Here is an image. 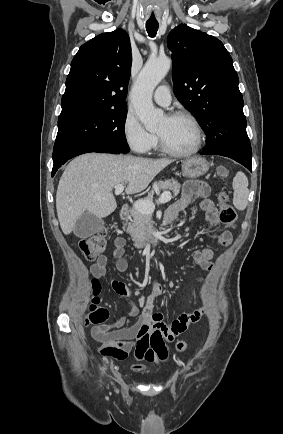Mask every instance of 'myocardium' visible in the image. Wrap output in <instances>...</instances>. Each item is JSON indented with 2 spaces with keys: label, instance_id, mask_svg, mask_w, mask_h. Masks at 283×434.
<instances>
[{
  "label": "myocardium",
  "instance_id": "obj_1",
  "mask_svg": "<svg viewBox=\"0 0 283 434\" xmlns=\"http://www.w3.org/2000/svg\"><path fill=\"white\" fill-rule=\"evenodd\" d=\"M167 117L169 119L183 118V119H186L187 121H189L190 124L192 125L193 129H194V132H195V142H194V145L192 146V148H190L189 150L177 151V150L170 148L166 144V142L164 141L162 136L157 133L161 150L170 156L180 157V158L181 157H189V156L196 154L201 149L202 143H203V131H202L201 125L198 122V120L196 119V117L194 115H192L190 112L184 111V110L172 112V113L168 114Z\"/></svg>",
  "mask_w": 283,
  "mask_h": 434
}]
</instances>
